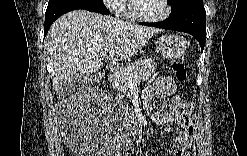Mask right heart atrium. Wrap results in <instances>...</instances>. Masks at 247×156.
Here are the masks:
<instances>
[{
  "mask_svg": "<svg viewBox=\"0 0 247 156\" xmlns=\"http://www.w3.org/2000/svg\"><path fill=\"white\" fill-rule=\"evenodd\" d=\"M105 5L116 14H121L125 11V1L123 0H107Z\"/></svg>",
  "mask_w": 247,
  "mask_h": 156,
  "instance_id": "obj_1",
  "label": "right heart atrium"
}]
</instances>
